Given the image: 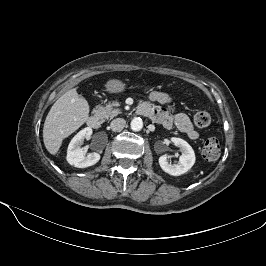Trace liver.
Returning <instances> with one entry per match:
<instances>
[{"label": "liver", "instance_id": "6515ba94", "mask_svg": "<svg viewBox=\"0 0 266 266\" xmlns=\"http://www.w3.org/2000/svg\"><path fill=\"white\" fill-rule=\"evenodd\" d=\"M89 117L87 100L77 93L76 88L68 90L51 107L43 127V141L46 149L55 155L63 139L81 127Z\"/></svg>", "mask_w": 266, "mask_h": 266}]
</instances>
